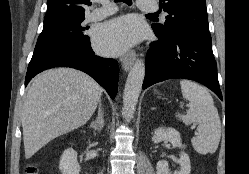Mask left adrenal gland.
Wrapping results in <instances>:
<instances>
[{
  "label": "left adrenal gland",
  "mask_w": 249,
  "mask_h": 174,
  "mask_svg": "<svg viewBox=\"0 0 249 174\" xmlns=\"http://www.w3.org/2000/svg\"><path fill=\"white\" fill-rule=\"evenodd\" d=\"M156 108L152 107L151 110H155Z\"/></svg>",
  "instance_id": "a2214340"
}]
</instances>
